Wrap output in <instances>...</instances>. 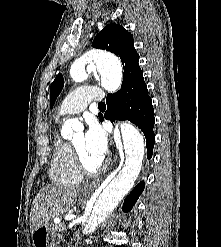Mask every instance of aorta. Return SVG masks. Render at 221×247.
<instances>
[{"label":"aorta","instance_id":"1","mask_svg":"<svg viewBox=\"0 0 221 247\" xmlns=\"http://www.w3.org/2000/svg\"><path fill=\"white\" fill-rule=\"evenodd\" d=\"M96 70L107 89L116 91L122 80L120 61L113 55L102 51H92L75 61L70 69L73 79L80 80L86 70ZM82 127L77 119H68L62 134L71 137L73 130ZM125 162L122 169L113 180L103 189L97 198L86 224L87 233H92L97 226L118 206L123 197L132 189L139 176L144 157V139L141 133L129 123L121 124Z\"/></svg>","mask_w":221,"mask_h":247}]
</instances>
